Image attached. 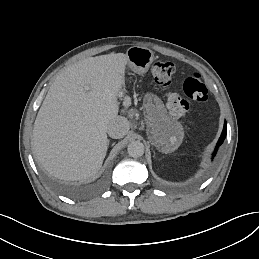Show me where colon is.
Returning a JSON list of instances; mask_svg holds the SVG:
<instances>
[{
	"mask_svg": "<svg viewBox=\"0 0 259 259\" xmlns=\"http://www.w3.org/2000/svg\"><path fill=\"white\" fill-rule=\"evenodd\" d=\"M151 75L157 85L167 90L166 102L169 113L178 119H184L191 113L189 100L205 102L208 90L200 74L194 73L183 83V95L169 90L175 66L168 61H155L150 68Z\"/></svg>",
	"mask_w": 259,
	"mask_h": 259,
	"instance_id": "5ec220e1",
	"label": "colon"
}]
</instances>
